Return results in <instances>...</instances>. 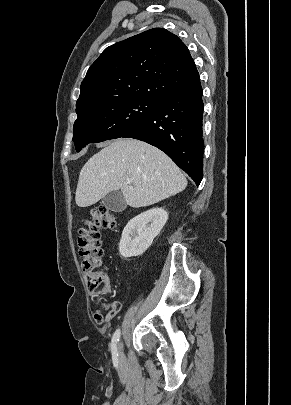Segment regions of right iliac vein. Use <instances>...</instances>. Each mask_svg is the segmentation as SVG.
I'll return each mask as SVG.
<instances>
[{"instance_id": "1", "label": "right iliac vein", "mask_w": 291, "mask_h": 405, "mask_svg": "<svg viewBox=\"0 0 291 405\" xmlns=\"http://www.w3.org/2000/svg\"><path fill=\"white\" fill-rule=\"evenodd\" d=\"M122 347H123L122 343H119L118 348H119V351H120V355H119V359H120V360H122V357H123V354H122Z\"/></svg>"}]
</instances>
